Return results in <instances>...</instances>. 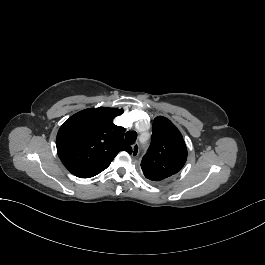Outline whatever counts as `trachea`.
Segmentation results:
<instances>
[{"mask_svg": "<svg viewBox=\"0 0 265 265\" xmlns=\"http://www.w3.org/2000/svg\"><path fill=\"white\" fill-rule=\"evenodd\" d=\"M128 144H134L137 139V133L134 131H128L125 135Z\"/></svg>", "mask_w": 265, "mask_h": 265, "instance_id": "3493384b", "label": "trachea"}]
</instances>
